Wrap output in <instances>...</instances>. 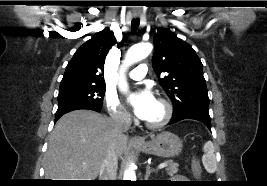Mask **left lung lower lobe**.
Here are the masks:
<instances>
[{
    "instance_id": "left-lung-lower-lobe-1",
    "label": "left lung lower lobe",
    "mask_w": 267,
    "mask_h": 186,
    "mask_svg": "<svg viewBox=\"0 0 267 186\" xmlns=\"http://www.w3.org/2000/svg\"><path fill=\"white\" fill-rule=\"evenodd\" d=\"M184 119H194L200 121L204 123L208 127V129H211V118L209 116V112H204L200 110H189L173 114V117L169 124H173Z\"/></svg>"
}]
</instances>
